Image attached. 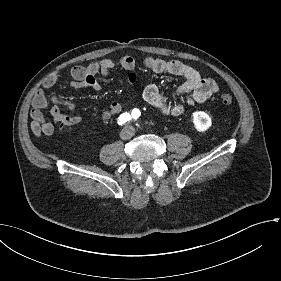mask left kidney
I'll use <instances>...</instances> for the list:
<instances>
[{
    "instance_id": "left-kidney-1",
    "label": "left kidney",
    "mask_w": 281,
    "mask_h": 281,
    "mask_svg": "<svg viewBox=\"0 0 281 281\" xmlns=\"http://www.w3.org/2000/svg\"><path fill=\"white\" fill-rule=\"evenodd\" d=\"M192 123L196 132L204 133L212 126V119L204 111H194L192 113Z\"/></svg>"
}]
</instances>
